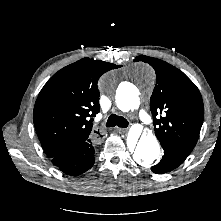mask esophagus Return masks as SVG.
<instances>
[{
	"label": "esophagus",
	"instance_id": "esophagus-1",
	"mask_svg": "<svg viewBox=\"0 0 221 221\" xmlns=\"http://www.w3.org/2000/svg\"><path fill=\"white\" fill-rule=\"evenodd\" d=\"M117 130L120 131V132H123V133L127 132L126 128H119V127H117Z\"/></svg>",
	"mask_w": 221,
	"mask_h": 221
}]
</instances>
